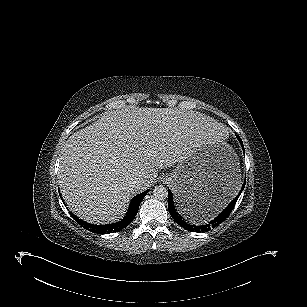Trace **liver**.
I'll return each instance as SVG.
<instances>
[{
    "mask_svg": "<svg viewBox=\"0 0 307 307\" xmlns=\"http://www.w3.org/2000/svg\"><path fill=\"white\" fill-rule=\"evenodd\" d=\"M223 133L218 122L199 112L169 108L105 112L64 145L58 174L62 197L87 222L118 221L132 195L149 188L159 169L173 166ZM136 178L144 183L133 188L130 182Z\"/></svg>",
    "mask_w": 307,
    "mask_h": 307,
    "instance_id": "6515ba94",
    "label": "liver"
}]
</instances>
